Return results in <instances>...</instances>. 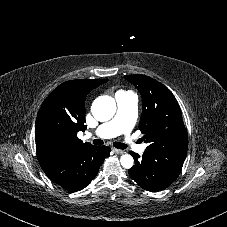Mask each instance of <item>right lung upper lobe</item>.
Returning <instances> with one entry per match:
<instances>
[{
  "label": "right lung upper lobe",
  "mask_w": 227,
  "mask_h": 227,
  "mask_svg": "<svg viewBox=\"0 0 227 227\" xmlns=\"http://www.w3.org/2000/svg\"><path fill=\"white\" fill-rule=\"evenodd\" d=\"M108 79L66 81L43 102L35 124L36 153L43 168L74 151L89 146L77 137L85 131L86 95Z\"/></svg>",
  "instance_id": "obj_1"
}]
</instances>
